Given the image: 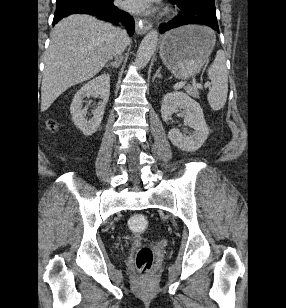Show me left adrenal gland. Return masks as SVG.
Returning a JSON list of instances; mask_svg holds the SVG:
<instances>
[{"mask_svg": "<svg viewBox=\"0 0 286 308\" xmlns=\"http://www.w3.org/2000/svg\"><path fill=\"white\" fill-rule=\"evenodd\" d=\"M160 70H161V67H159V68L157 69L155 75L153 76V78H152V81H153V82H154V80H155L156 78H159V79L162 78V75L160 74Z\"/></svg>", "mask_w": 286, "mask_h": 308, "instance_id": "1", "label": "left adrenal gland"}]
</instances>
